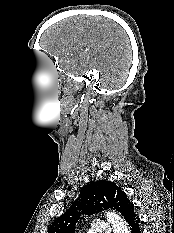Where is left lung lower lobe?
<instances>
[{"label": "left lung lower lobe", "instance_id": "obj_1", "mask_svg": "<svg viewBox=\"0 0 174 233\" xmlns=\"http://www.w3.org/2000/svg\"><path fill=\"white\" fill-rule=\"evenodd\" d=\"M129 227L130 233H142L140 229V219L133 211L125 218Z\"/></svg>", "mask_w": 174, "mask_h": 233}]
</instances>
